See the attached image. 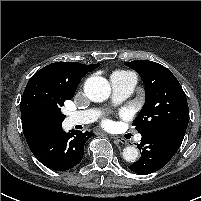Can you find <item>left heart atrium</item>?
<instances>
[{
	"label": "left heart atrium",
	"mask_w": 201,
	"mask_h": 201,
	"mask_svg": "<svg viewBox=\"0 0 201 201\" xmlns=\"http://www.w3.org/2000/svg\"><path fill=\"white\" fill-rule=\"evenodd\" d=\"M105 125H109V121H106V122H105Z\"/></svg>",
	"instance_id": "obj_1"
}]
</instances>
